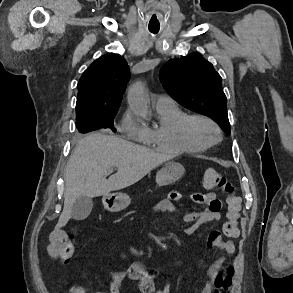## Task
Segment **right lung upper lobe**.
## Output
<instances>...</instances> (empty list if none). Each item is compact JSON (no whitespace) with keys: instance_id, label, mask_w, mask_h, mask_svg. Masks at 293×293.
Returning <instances> with one entry per match:
<instances>
[{"instance_id":"obj_1","label":"right lung upper lobe","mask_w":293,"mask_h":293,"mask_svg":"<svg viewBox=\"0 0 293 293\" xmlns=\"http://www.w3.org/2000/svg\"><path fill=\"white\" fill-rule=\"evenodd\" d=\"M129 78V66L120 55L109 53L100 57L79 80L76 111L98 114L117 112Z\"/></svg>"}]
</instances>
